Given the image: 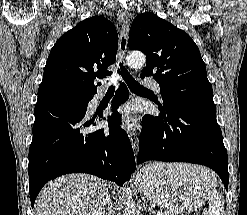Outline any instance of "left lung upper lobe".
I'll use <instances>...</instances> for the list:
<instances>
[{
    "label": "left lung upper lobe",
    "instance_id": "5c2ea615",
    "mask_svg": "<svg viewBox=\"0 0 247 215\" xmlns=\"http://www.w3.org/2000/svg\"><path fill=\"white\" fill-rule=\"evenodd\" d=\"M128 46L147 57L141 77L159 83L163 110L197 104L216 108L205 63L192 38L157 15L146 12L131 25Z\"/></svg>",
    "mask_w": 247,
    "mask_h": 215
}]
</instances>
